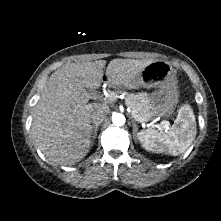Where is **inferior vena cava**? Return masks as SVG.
I'll use <instances>...</instances> for the list:
<instances>
[{
    "label": "inferior vena cava",
    "mask_w": 221,
    "mask_h": 221,
    "mask_svg": "<svg viewBox=\"0 0 221 221\" xmlns=\"http://www.w3.org/2000/svg\"><path fill=\"white\" fill-rule=\"evenodd\" d=\"M109 111V107L107 105H98L93 112L91 113V120L93 123H101L105 117L106 113Z\"/></svg>",
    "instance_id": "obj_1"
}]
</instances>
